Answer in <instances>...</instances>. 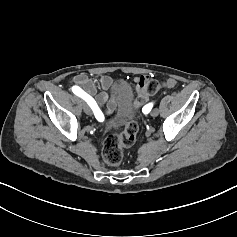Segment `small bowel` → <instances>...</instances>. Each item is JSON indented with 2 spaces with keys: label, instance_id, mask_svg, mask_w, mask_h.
Segmentation results:
<instances>
[{
  "label": "small bowel",
  "instance_id": "c3829d8e",
  "mask_svg": "<svg viewBox=\"0 0 237 237\" xmlns=\"http://www.w3.org/2000/svg\"><path fill=\"white\" fill-rule=\"evenodd\" d=\"M149 76H138L135 78L136 83V92L140 103H145L148 100V96L144 94V86L148 81ZM71 83L74 86H78L81 89H84L88 95H90L100 112L102 113L101 107L106 105L105 111L110 113L116 107V93L113 92L111 95H108L105 91L109 90L113 86V79L107 75H101L98 79V84L100 88L103 90L102 92L97 91L95 81L86 74H78L73 76L70 79ZM177 84L174 79H167L163 82V85L168 88H173ZM85 92V93H86Z\"/></svg>",
  "mask_w": 237,
  "mask_h": 237
}]
</instances>
